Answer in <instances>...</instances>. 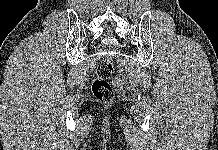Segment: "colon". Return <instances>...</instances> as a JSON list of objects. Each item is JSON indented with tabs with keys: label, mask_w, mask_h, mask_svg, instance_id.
Instances as JSON below:
<instances>
[{
	"label": "colon",
	"mask_w": 218,
	"mask_h": 150,
	"mask_svg": "<svg viewBox=\"0 0 218 150\" xmlns=\"http://www.w3.org/2000/svg\"><path fill=\"white\" fill-rule=\"evenodd\" d=\"M113 73L114 65L110 60L103 59L98 63L91 86L92 93L97 100L107 103L113 99V89L109 82Z\"/></svg>",
	"instance_id": "5ec220e1"
}]
</instances>
